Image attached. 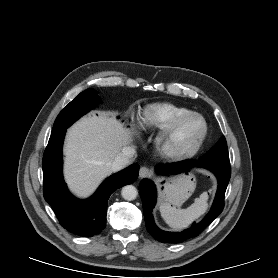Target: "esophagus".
<instances>
[{
	"label": "esophagus",
	"mask_w": 278,
	"mask_h": 278,
	"mask_svg": "<svg viewBox=\"0 0 278 278\" xmlns=\"http://www.w3.org/2000/svg\"><path fill=\"white\" fill-rule=\"evenodd\" d=\"M149 176H150V170L145 166L141 167L140 170H139V177L140 178H146V177H149Z\"/></svg>",
	"instance_id": "esophagus-1"
}]
</instances>
